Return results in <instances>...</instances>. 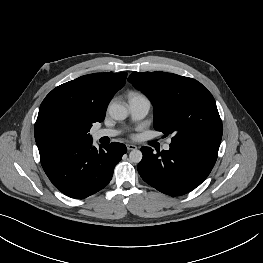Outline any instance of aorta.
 Instances as JSON below:
<instances>
[{"mask_svg":"<svg viewBox=\"0 0 263 263\" xmlns=\"http://www.w3.org/2000/svg\"><path fill=\"white\" fill-rule=\"evenodd\" d=\"M108 112L115 120H124L128 116V109L124 105L117 102L109 105ZM142 157V152L137 149H134L129 153V159L133 163H139L142 160Z\"/></svg>","mask_w":263,"mask_h":263,"instance_id":"aorta-1","label":"aorta"}]
</instances>
